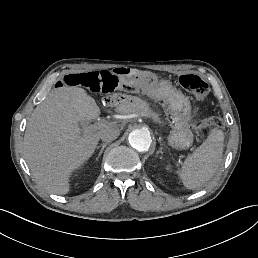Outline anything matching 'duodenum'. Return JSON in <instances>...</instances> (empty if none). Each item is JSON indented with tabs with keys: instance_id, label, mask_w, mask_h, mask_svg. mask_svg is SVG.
I'll return each instance as SVG.
<instances>
[{
	"instance_id": "duodenum-1",
	"label": "duodenum",
	"mask_w": 258,
	"mask_h": 258,
	"mask_svg": "<svg viewBox=\"0 0 258 258\" xmlns=\"http://www.w3.org/2000/svg\"><path fill=\"white\" fill-rule=\"evenodd\" d=\"M115 76L123 82L132 81L136 76L137 72L131 67H117L114 69Z\"/></svg>"
}]
</instances>
